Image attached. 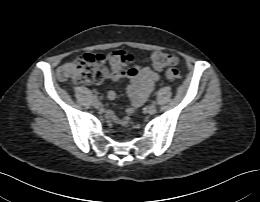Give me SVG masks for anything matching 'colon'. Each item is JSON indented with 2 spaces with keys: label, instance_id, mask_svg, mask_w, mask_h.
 <instances>
[{
  "label": "colon",
  "instance_id": "1",
  "mask_svg": "<svg viewBox=\"0 0 260 202\" xmlns=\"http://www.w3.org/2000/svg\"><path fill=\"white\" fill-rule=\"evenodd\" d=\"M131 61V53L123 49L113 50L107 54H83L60 66L57 76L61 81L73 84H100L111 74L106 67L107 62L112 67L124 71ZM176 63L177 58L171 53L157 51L151 56L152 67L165 69V77L169 81H178L182 77L180 72L173 67Z\"/></svg>",
  "mask_w": 260,
  "mask_h": 202
}]
</instances>
